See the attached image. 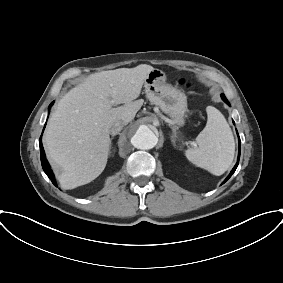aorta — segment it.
Wrapping results in <instances>:
<instances>
[{
	"instance_id": "762f6f07",
	"label": "aorta",
	"mask_w": 283,
	"mask_h": 283,
	"mask_svg": "<svg viewBox=\"0 0 283 283\" xmlns=\"http://www.w3.org/2000/svg\"><path fill=\"white\" fill-rule=\"evenodd\" d=\"M158 138L154 132L146 125L137 128L131 138V143L137 149L148 150L156 146Z\"/></svg>"
}]
</instances>
